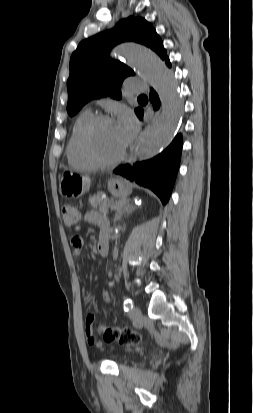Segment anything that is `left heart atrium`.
<instances>
[{"label": "left heart atrium", "mask_w": 253, "mask_h": 413, "mask_svg": "<svg viewBox=\"0 0 253 413\" xmlns=\"http://www.w3.org/2000/svg\"><path fill=\"white\" fill-rule=\"evenodd\" d=\"M116 127L122 139L123 145L126 146L134 137L137 131V123L129 111H122L116 121Z\"/></svg>", "instance_id": "left-heart-atrium-1"}]
</instances>
